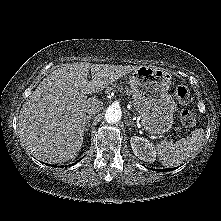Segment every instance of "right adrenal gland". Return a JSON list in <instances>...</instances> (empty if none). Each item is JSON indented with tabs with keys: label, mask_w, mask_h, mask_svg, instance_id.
<instances>
[{
	"label": "right adrenal gland",
	"mask_w": 221,
	"mask_h": 221,
	"mask_svg": "<svg viewBox=\"0 0 221 221\" xmlns=\"http://www.w3.org/2000/svg\"><path fill=\"white\" fill-rule=\"evenodd\" d=\"M91 116H87L85 120V131H89ZM88 134V133H87Z\"/></svg>",
	"instance_id": "2a0ac1e0"
}]
</instances>
